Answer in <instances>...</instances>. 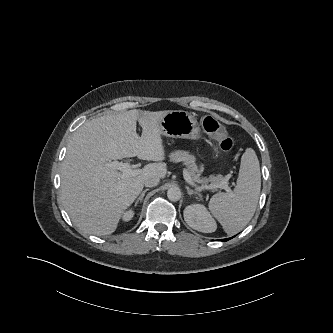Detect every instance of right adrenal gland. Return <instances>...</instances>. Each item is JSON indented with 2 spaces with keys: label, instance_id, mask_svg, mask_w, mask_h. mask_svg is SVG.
Wrapping results in <instances>:
<instances>
[{
  "label": "right adrenal gland",
  "instance_id": "obj_1",
  "mask_svg": "<svg viewBox=\"0 0 333 333\" xmlns=\"http://www.w3.org/2000/svg\"><path fill=\"white\" fill-rule=\"evenodd\" d=\"M148 190H149V189L147 188V189H145V190L142 191V193L140 194V196L137 198V200H136V202H135V207L137 206V204L139 203V201H140V202L143 201V198H144V196H145V193H146Z\"/></svg>",
  "mask_w": 333,
  "mask_h": 333
}]
</instances>
